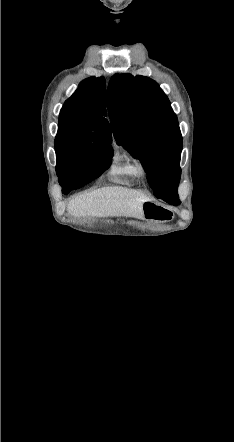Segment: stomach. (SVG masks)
Instances as JSON below:
<instances>
[{
    "mask_svg": "<svg viewBox=\"0 0 234 442\" xmlns=\"http://www.w3.org/2000/svg\"><path fill=\"white\" fill-rule=\"evenodd\" d=\"M143 219L166 222L172 219V212L152 201H146L142 205Z\"/></svg>",
    "mask_w": 234,
    "mask_h": 442,
    "instance_id": "0dacf381",
    "label": "stomach"
}]
</instances>
